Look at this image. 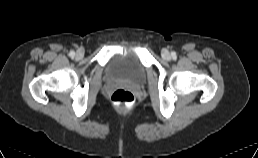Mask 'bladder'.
Listing matches in <instances>:
<instances>
[{"instance_id":"obj_1","label":"bladder","mask_w":258,"mask_h":158,"mask_svg":"<svg viewBox=\"0 0 258 158\" xmlns=\"http://www.w3.org/2000/svg\"><path fill=\"white\" fill-rule=\"evenodd\" d=\"M108 73L116 79H125L132 82H141L146 75V69L141 60L133 55H119L111 60Z\"/></svg>"}]
</instances>
